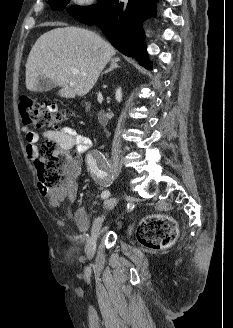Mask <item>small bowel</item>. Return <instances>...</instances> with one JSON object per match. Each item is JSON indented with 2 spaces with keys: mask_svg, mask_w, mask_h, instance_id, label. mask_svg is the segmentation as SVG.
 I'll return each mask as SVG.
<instances>
[{
  "mask_svg": "<svg viewBox=\"0 0 233 328\" xmlns=\"http://www.w3.org/2000/svg\"><path fill=\"white\" fill-rule=\"evenodd\" d=\"M23 132L26 138V152L29 157H34L37 152V143L40 135L24 126ZM42 136L55 141L58 146L64 150L75 149L77 153H84L92 146L91 139L82 130H78L69 126L60 129L45 130ZM40 193L47 199L53 207H60L63 214L70 215L71 207L75 201L78 186L75 178H72L62 187L56 190H45L39 186ZM75 221L79 228L83 229L87 222L86 213L83 209H78L75 213Z\"/></svg>",
  "mask_w": 233,
  "mask_h": 328,
  "instance_id": "obj_1",
  "label": "small bowel"
}]
</instances>
